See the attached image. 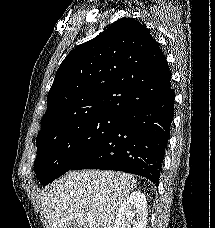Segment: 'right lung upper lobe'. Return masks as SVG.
<instances>
[{
	"label": "right lung upper lobe",
	"instance_id": "cb5924a9",
	"mask_svg": "<svg viewBox=\"0 0 215 228\" xmlns=\"http://www.w3.org/2000/svg\"><path fill=\"white\" fill-rule=\"evenodd\" d=\"M169 76L148 29L133 18H121L63 60L47 96L41 130L99 114L123 116L162 95Z\"/></svg>",
	"mask_w": 215,
	"mask_h": 228
}]
</instances>
